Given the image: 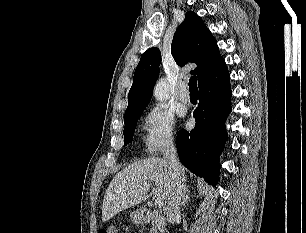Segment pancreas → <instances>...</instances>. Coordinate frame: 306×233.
Listing matches in <instances>:
<instances>
[{
  "mask_svg": "<svg viewBox=\"0 0 306 233\" xmlns=\"http://www.w3.org/2000/svg\"><path fill=\"white\" fill-rule=\"evenodd\" d=\"M152 229L151 233H163L164 231V225H165V220L160 214L155 211L152 213Z\"/></svg>",
  "mask_w": 306,
  "mask_h": 233,
  "instance_id": "obj_1",
  "label": "pancreas"
}]
</instances>
